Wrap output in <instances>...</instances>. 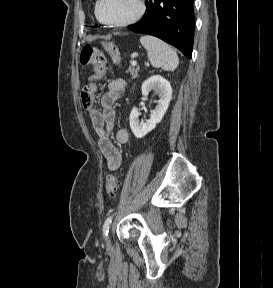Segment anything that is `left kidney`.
<instances>
[{
    "label": "left kidney",
    "instance_id": "5707ae66",
    "mask_svg": "<svg viewBox=\"0 0 273 288\" xmlns=\"http://www.w3.org/2000/svg\"><path fill=\"white\" fill-rule=\"evenodd\" d=\"M156 90L159 99L157 105L150 115V119L146 122L139 120V112L133 107L130 113V127L136 138H143L161 122L166 113L172 97V88L165 78L160 75H154L145 80L142 84V95H147L149 91Z\"/></svg>",
    "mask_w": 273,
    "mask_h": 288
}]
</instances>
